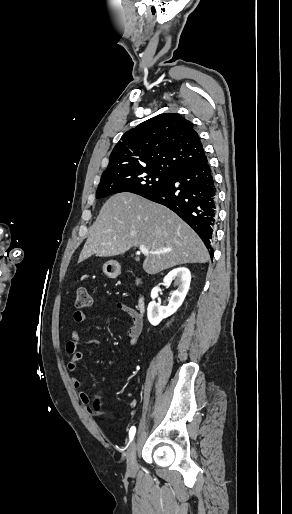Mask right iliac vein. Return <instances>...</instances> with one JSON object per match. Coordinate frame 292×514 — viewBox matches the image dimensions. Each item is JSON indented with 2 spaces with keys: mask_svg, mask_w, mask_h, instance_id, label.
<instances>
[{
  "mask_svg": "<svg viewBox=\"0 0 292 514\" xmlns=\"http://www.w3.org/2000/svg\"><path fill=\"white\" fill-rule=\"evenodd\" d=\"M136 454H137V443H136V440L134 439L128 448L127 458H126L127 473L130 476H133L136 472V468H137Z\"/></svg>",
  "mask_w": 292,
  "mask_h": 514,
  "instance_id": "63e3f726",
  "label": "right iliac vein"
}]
</instances>
